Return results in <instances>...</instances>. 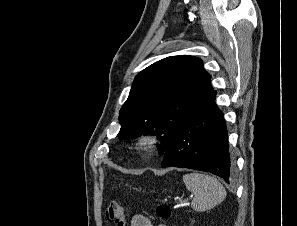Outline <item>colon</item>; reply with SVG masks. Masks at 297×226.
I'll use <instances>...</instances> for the list:
<instances>
[{
	"instance_id": "colon-1",
	"label": "colon",
	"mask_w": 297,
	"mask_h": 226,
	"mask_svg": "<svg viewBox=\"0 0 297 226\" xmlns=\"http://www.w3.org/2000/svg\"><path fill=\"white\" fill-rule=\"evenodd\" d=\"M157 214L162 218H168L171 215V209L166 204H160L157 207ZM107 221L115 224L116 226L125 225L124 208L118 202H112L105 212Z\"/></svg>"
}]
</instances>
